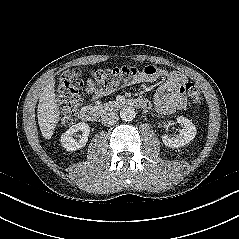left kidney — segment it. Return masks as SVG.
I'll use <instances>...</instances> for the list:
<instances>
[{
  "label": "left kidney",
  "mask_w": 239,
  "mask_h": 239,
  "mask_svg": "<svg viewBox=\"0 0 239 239\" xmlns=\"http://www.w3.org/2000/svg\"><path fill=\"white\" fill-rule=\"evenodd\" d=\"M176 120L184 126L183 129L179 131V136L176 138H171L167 135L162 136L163 143L170 148H178L186 145L192 141L197 134L195 125L189 119L183 116H178Z\"/></svg>",
  "instance_id": "left-kidney-1"
}]
</instances>
